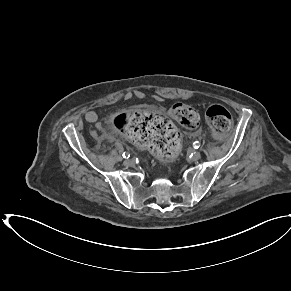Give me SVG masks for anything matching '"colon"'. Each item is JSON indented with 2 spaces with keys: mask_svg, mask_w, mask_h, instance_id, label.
Listing matches in <instances>:
<instances>
[{
  "mask_svg": "<svg viewBox=\"0 0 291 291\" xmlns=\"http://www.w3.org/2000/svg\"><path fill=\"white\" fill-rule=\"evenodd\" d=\"M171 114L184 127L196 128L199 124V114L188 104L176 103ZM206 121L215 136L227 133L233 124L230 112L218 104L207 109ZM111 125L136 145L149 149L168 161L174 160L178 154L179 134L172 122L162 115L137 110L115 115L111 119Z\"/></svg>",
  "mask_w": 291,
  "mask_h": 291,
  "instance_id": "colon-1",
  "label": "colon"
}]
</instances>
